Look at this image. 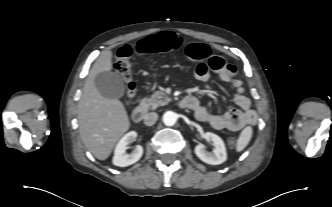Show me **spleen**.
Returning <instances> with one entry per match:
<instances>
[{"label":"spleen","mask_w":332,"mask_h":207,"mask_svg":"<svg viewBox=\"0 0 332 207\" xmlns=\"http://www.w3.org/2000/svg\"><path fill=\"white\" fill-rule=\"evenodd\" d=\"M253 130L251 127H246L241 132L236 145V151L241 152L250 142L252 138Z\"/></svg>","instance_id":"spleen-1"}]
</instances>
